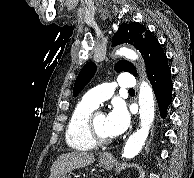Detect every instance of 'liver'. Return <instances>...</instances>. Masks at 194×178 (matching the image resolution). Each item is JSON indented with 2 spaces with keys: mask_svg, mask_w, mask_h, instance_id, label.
I'll use <instances>...</instances> for the list:
<instances>
[{
  "mask_svg": "<svg viewBox=\"0 0 194 178\" xmlns=\"http://www.w3.org/2000/svg\"><path fill=\"white\" fill-rule=\"evenodd\" d=\"M95 161L92 153L73 151L60 155L53 163L49 178H60L74 169L88 166Z\"/></svg>",
  "mask_w": 194,
  "mask_h": 178,
  "instance_id": "liver-1",
  "label": "liver"
}]
</instances>
